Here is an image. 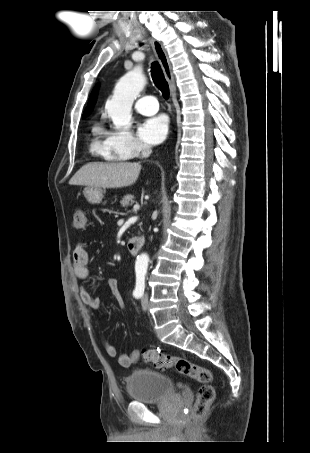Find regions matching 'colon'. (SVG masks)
I'll return each mask as SVG.
<instances>
[{
    "mask_svg": "<svg viewBox=\"0 0 310 453\" xmlns=\"http://www.w3.org/2000/svg\"><path fill=\"white\" fill-rule=\"evenodd\" d=\"M86 224L87 218L84 210L76 209L73 214L74 227L76 229H84ZM141 356L144 362L151 363L159 370L174 368L178 373L199 382L201 386L197 392L190 421H197L207 413L215 396V391L211 384L213 376L209 369L194 364L185 358L166 354L154 349L142 350Z\"/></svg>",
    "mask_w": 310,
    "mask_h": 453,
    "instance_id": "1",
    "label": "colon"
}]
</instances>
